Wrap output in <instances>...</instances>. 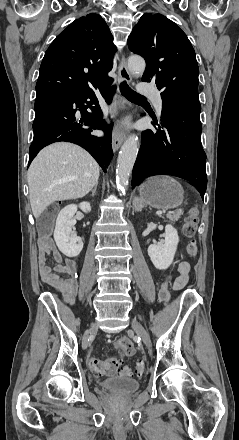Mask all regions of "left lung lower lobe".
I'll return each mask as SVG.
<instances>
[{
    "mask_svg": "<svg viewBox=\"0 0 239 440\" xmlns=\"http://www.w3.org/2000/svg\"><path fill=\"white\" fill-rule=\"evenodd\" d=\"M161 97L162 123L157 132H142L132 186L149 176L174 175L194 183L204 199L206 154L201 145L198 93L174 91ZM154 124L157 125V121Z\"/></svg>",
    "mask_w": 239,
    "mask_h": 440,
    "instance_id": "obj_1",
    "label": "left lung lower lobe"
}]
</instances>
